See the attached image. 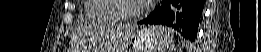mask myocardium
<instances>
[{
	"label": "myocardium",
	"instance_id": "f54148a6",
	"mask_svg": "<svg viewBox=\"0 0 261 52\" xmlns=\"http://www.w3.org/2000/svg\"><path fill=\"white\" fill-rule=\"evenodd\" d=\"M121 1H128V0H115L114 1V8H113L114 11H115V15L118 17L120 22H134V21H137L138 19H140L141 17L144 16V14L146 12V6L141 2H140V5H139V8H138V11L135 14L130 15V16L121 14L118 11L119 2H121Z\"/></svg>",
	"mask_w": 261,
	"mask_h": 52
}]
</instances>
